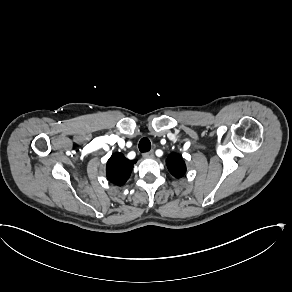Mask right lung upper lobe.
<instances>
[{
    "label": "right lung upper lobe",
    "instance_id": "right-lung-upper-lobe-1",
    "mask_svg": "<svg viewBox=\"0 0 292 292\" xmlns=\"http://www.w3.org/2000/svg\"><path fill=\"white\" fill-rule=\"evenodd\" d=\"M134 163L136 160L130 161L122 153H114L107 162V179L117 186L124 185L130 177Z\"/></svg>",
    "mask_w": 292,
    "mask_h": 292
}]
</instances>
